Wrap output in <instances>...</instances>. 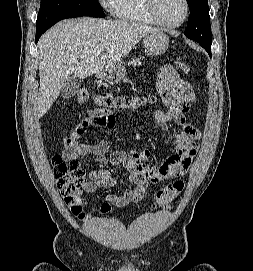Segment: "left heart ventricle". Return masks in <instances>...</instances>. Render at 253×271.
Returning <instances> with one entry per match:
<instances>
[{
	"label": "left heart ventricle",
	"instance_id": "1",
	"mask_svg": "<svg viewBox=\"0 0 253 271\" xmlns=\"http://www.w3.org/2000/svg\"><path fill=\"white\" fill-rule=\"evenodd\" d=\"M157 10L165 22L176 24L183 18L185 6L183 0H157Z\"/></svg>",
	"mask_w": 253,
	"mask_h": 271
}]
</instances>
